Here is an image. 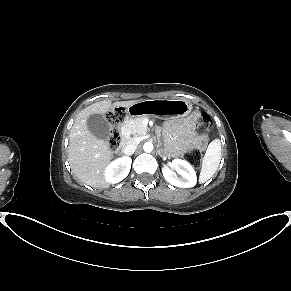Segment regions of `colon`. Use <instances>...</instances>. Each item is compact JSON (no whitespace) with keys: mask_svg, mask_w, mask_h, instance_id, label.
I'll use <instances>...</instances> for the list:
<instances>
[{"mask_svg":"<svg viewBox=\"0 0 291 291\" xmlns=\"http://www.w3.org/2000/svg\"><path fill=\"white\" fill-rule=\"evenodd\" d=\"M127 117L125 108H117L107 115L108 122L112 125L109 133L108 143L112 150H116L122 143V138L118 126L121 125ZM212 130V121L210 116L202 114L197 122L195 134L200 141L205 140ZM185 159L194 166H198L201 160V153L198 149H191L184 154Z\"/></svg>","mask_w":291,"mask_h":291,"instance_id":"obj_1","label":"colon"}]
</instances>
